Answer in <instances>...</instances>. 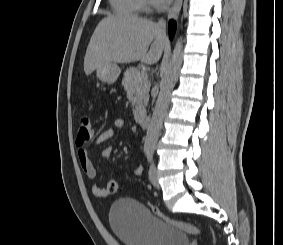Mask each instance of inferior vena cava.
<instances>
[{
  "label": "inferior vena cava",
  "mask_w": 283,
  "mask_h": 245,
  "mask_svg": "<svg viewBox=\"0 0 283 245\" xmlns=\"http://www.w3.org/2000/svg\"><path fill=\"white\" fill-rule=\"evenodd\" d=\"M158 25H159L161 28H163V29L165 30L166 23H165L164 20L161 19V20L158 22Z\"/></svg>",
  "instance_id": "1"
}]
</instances>
